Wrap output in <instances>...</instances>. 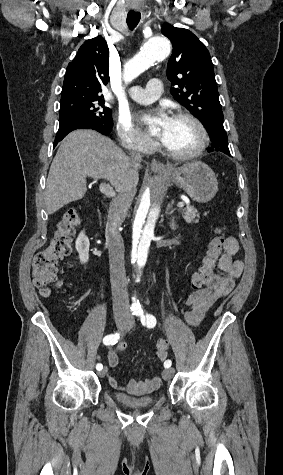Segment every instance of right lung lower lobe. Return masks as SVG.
<instances>
[{"mask_svg": "<svg viewBox=\"0 0 283 475\" xmlns=\"http://www.w3.org/2000/svg\"><path fill=\"white\" fill-rule=\"evenodd\" d=\"M76 129H93L101 134L107 135L111 132L112 127H107L104 125H98L95 123H92L89 120L79 118V117H74V118H68L65 120L60 121L59 124V130L56 134L55 137V142H54V147L58 144L59 141H61L68 133H70L73 130Z\"/></svg>", "mask_w": 283, "mask_h": 475, "instance_id": "obj_1", "label": "right lung lower lobe"}]
</instances>
